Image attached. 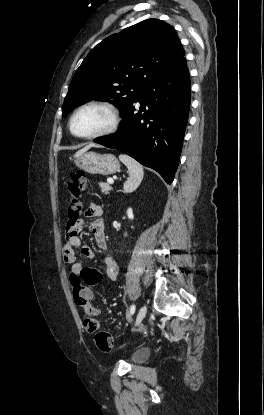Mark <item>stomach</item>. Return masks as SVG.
<instances>
[{"instance_id":"stomach-1","label":"stomach","mask_w":264,"mask_h":415,"mask_svg":"<svg viewBox=\"0 0 264 415\" xmlns=\"http://www.w3.org/2000/svg\"><path fill=\"white\" fill-rule=\"evenodd\" d=\"M74 163L90 174L111 175L120 170V163L112 154L84 152L76 156Z\"/></svg>"}]
</instances>
